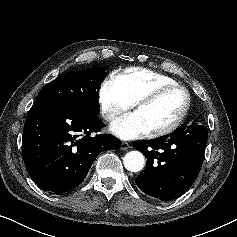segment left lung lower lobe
Segmentation results:
<instances>
[{
	"label": "left lung lower lobe",
	"instance_id": "0a47b994",
	"mask_svg": "<svg viewBox=\"0 0 237 237\" xmlns=\"http://www.w3.org/2000/svg\"><path fill=\"white\" fill-rule=\"evenodd\" d=\"M207 138V126L195 120L159 138L137 141L135 149L147 158L145 169L135 179L138 188L162 201L181 196L200 172Z\"/></svg>",
	"mask_w": 237,
	"mask_h": 237
}]
</instances>
